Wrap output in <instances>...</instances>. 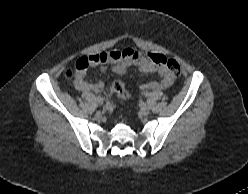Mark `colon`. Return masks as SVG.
<instances>
[{"label": "colon", "mask_w": 248, "mask_h": 194, "mask_svg": "<svg viewBox=\"0 0 248 194\" xmlns=\"http://www.w3.org/2000/svg\"><path fill=\"white\" fill-rule=\"evenodd\" d=\"M91 56L81 58L74 67H69L65 71V76L69 79H73L77 77V74L80 71H86L87 68L94 65L93 60L90 58ZM153 62L157 65H161L166 69L167 74L171 78H176L180 74V66L178 62L172 58L166 57L160 54H153L151 56ZM111 90L114 94L117 95L118 98L122 100H126L129 98V92L126 90L125 86L121 82H114L111 85Z\"/></svg>", "instance_id": "5ec220e1"}]
</instances>
